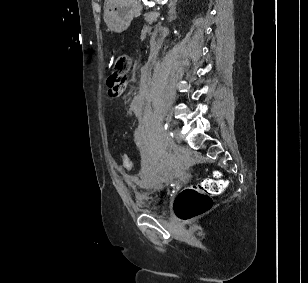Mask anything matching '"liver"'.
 Returning <instances> with one entry per match:
<instances>
[{
	"label": "liver",
	"mask_w": 308,
	"mask_h": 283,
	"mask_svg": "<svg viewBox=\"0 0 308 283\" xmlns=\"http://www.w3.org/2000/svg\"><path fill=\"white\" fill-rule=\"evenodd\" d=\"M113 2H115V0H106V7H107L108 5H110L111 3H113Z\"/></svg>",
	"instance_id": "6515ba94"
}]
</instances>
